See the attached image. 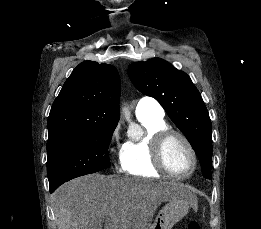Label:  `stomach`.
<instances>
[{
  "label": "stomach",
  "instance_id": "obj_1",
  "mask_svg": "<svg viewBox=\"0 0 261 229\" xmlns=\"http://www.w3.org/2000/svg\"><path fill=\"white\" fill-rule=\"evenodd\" d=\"M175 187H178V189L179 187L186 189L189 195L188 199H170V203L161 209L150 229H172L175 223H178L183 217H186L190 205H192L196 197L188 185L175 183Z\"/></svg>",
  "mask_w": 261,
  "mask_h": 229
}]
</instances>
